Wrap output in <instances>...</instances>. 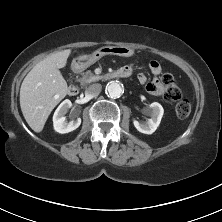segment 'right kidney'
Returning <instances> with one entry per match:
<instances>
[{"label": "right kidney", "mask_w": 222, "mask_h": 222, "mask_svg": "<svg viewBox=\"0 0 222 222\" xmlns=\"http://www.w3.org/2000/svg\"><path fill=\"white\" fill-rule=\"evenodd\" d=\"M71 106V101L66 99L56 109L53 115V126L56 132L64 134L77 129L80 126L81 118L72 119L69 122H67L65 119L64 115Z\"/></svg>", "instance_id": "right-kidney-1"}]
</instances>
